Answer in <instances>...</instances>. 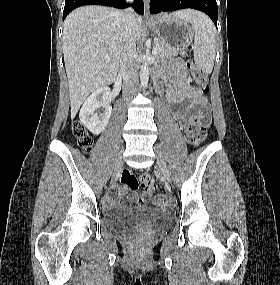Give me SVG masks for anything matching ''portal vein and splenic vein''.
<instances>
[{
    "label": "portal vein and splenic vein",
    "mask_w": 280,
    "mask_h": 285,
    "mask_svg": "<svg viewBox=\"0 0 280 285\" xmlns=\"http://www.w3.org/2000/svg\"><path fill=\"white\" fill-rule=\"evenodd\" d=\"M152 54H153L154 56H156V55L158 54V49H157V48H153ZM106 60L109 61L110 58H109V57H106Z\"/></svg>",
    "instance_id": "obj_1"
}]
</instances>
